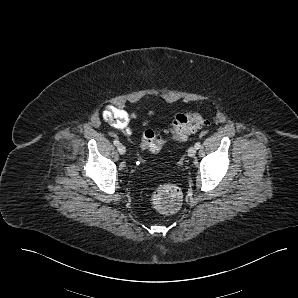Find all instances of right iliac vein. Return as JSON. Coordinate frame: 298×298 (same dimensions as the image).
I'll list each match as a JSON object with an SVG mask.
<instances>
[{
	"instance_id": "63e3f726",
	"label": "right iliac vein",
	"mask_w": 298,
	"mask_h": 298,
	"mask_svg": "<svg viewBox=\"0 0 298 298\" xmlns=\"http://www.w3.org/2000/svg\"><path fill=\"white\" fill-rule=\"evenodd\" d=\"M118 152L121 154V155H124L126 153V148L125 146L123 145H119L118 146Z\"/></svg>"
}]
</instances>
